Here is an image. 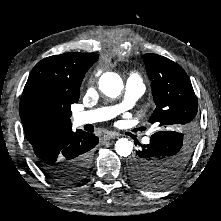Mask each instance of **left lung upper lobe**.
<instances>
[{
	"label": "left lung upper lobe",
	"instance_id": "obj_1",
	"mask_svg": "<svg viewBox=\"0 0 221 221\" xmlns=\"http://www.w3.org/2000/svg\"><path fill=\"white\" fill-rule=\"evenodd\" d=\"M143 59L156 105L149 121L162 130L171 131L174 138L160 145L146 167L149 170L143 171L141 180L135 182L148 188H160L180 176L193 154L198 100L181 66L156 54H145Z\"/></svg>",
	"mask_w": 221,
	"mask_h": 221
}]
</instances>
